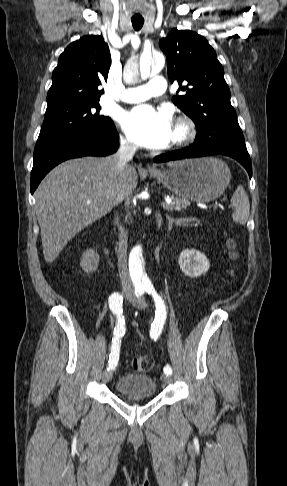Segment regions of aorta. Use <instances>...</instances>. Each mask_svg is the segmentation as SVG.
Instances as JSON below:
<instances>
[{
	"label": "aorta",
	"instance_id": "obj_1",
	"mask_svg": "<svg viewBox=\"0 0 287 486\" xmlns=\"http://www.w3.org/2000/svg\"><path fill=\"white\" fill-rule=\"evenodd\" d=\"M165 64V60L162 56H158L155 58V64L152 65L150 61H146L140 65V74L141 78L145 79L151 73H158ZM129 269L130 274L134 280L140 282L143 286L149 287L151 286V282L143 269V255H142V247L141 245L135 246L129 255Z\"/></svg>",
	"mask_w": 287,
	"mask_h": 486
}]
</instances>
